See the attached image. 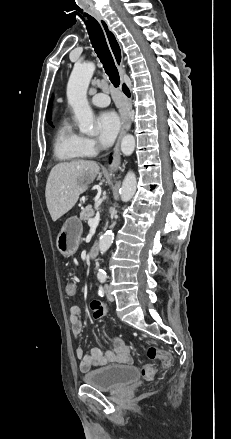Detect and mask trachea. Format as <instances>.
<instances>
[{"mask_svg": "<svg viewBox=\"0 0 231 439\" xmlns=\"http://www.w3.org/2000/svg\"><path fill=\"white\" fill-rule=\"evenodd\" d=\"M88 19H86L85 25L92 43V46L100 59L103 67L105 69L106 74L109 76L111 83L117 87L120 84V77L115 66L113 57L108 48L103 30L98 23V21L92 16L87 15Z\"/></svg>", "mask_w": 231, "mask_h": 439, "instance_id": "trachea-1", "label": "trachea"}]
</instances>
